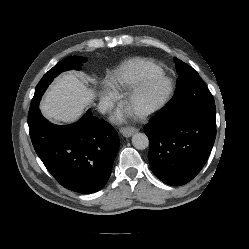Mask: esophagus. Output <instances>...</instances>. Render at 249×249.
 I'll return each mask as SVG.
<instances>
[{
	"mask_svg": "<svg viewBox=\"0 0 249 249\" xmlns=\"http://www.w3.org/2000/svg\"><path fill=\"white\" fill-rule=\"evenodd\" d=\"M135 132H137V129L133 127H125L120 130L121 135L126 138L131 137Z\"/></svg>",
	"mask_w": 249,
	"mask_h": 249,
	"instance_id": "34e87169",
	"label": "esophagus"
}]
</instances>
